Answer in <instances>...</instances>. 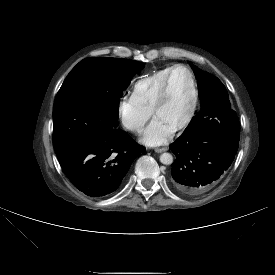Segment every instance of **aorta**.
Returning a JSON list of instances; mask_svg holds the SVG:
<instances>
[{
  "instance_id": "aorta-1",
  "label": "aorta",
  "mask_w": 275,
  "mask_h": 275,
  "mask_svg": "<svg viewBox=\"0 0 275 275\" xmlns=\"http://www.w3.org/2000/svg\"><path fill=\"white\" fill-rule=\"evenodd\" d=\"M160 162L164 165H171L173 163V156L170 153H163L160 156Z\"/></svg>"
}]
</instances>
